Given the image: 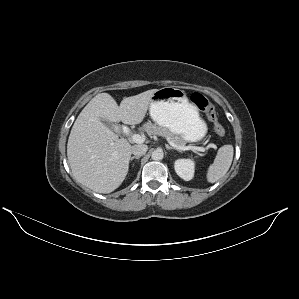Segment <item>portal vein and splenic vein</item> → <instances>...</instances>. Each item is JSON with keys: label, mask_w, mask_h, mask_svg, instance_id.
Wrapping results in <instances>:
<instances>
[{"label": "portal vein and splenic vein", "mask_w": 299, "mask_h": 299, "mask_svg": "<svg viewBox=\"0 0 299 299\" xmlns=\"http://www.w3.org/2000/svg\"><path fill=\"white\" fill-rule=\"evenodd\" d=\"M130 139L135 142V143H143L145 141V138L139 134H133L130 136ZM168 143L175 149H178V150H182V151H185V150H192V151H199V152H204L206 148L204 147H197V146H181V145H177L171 141H168ZM212 148H216L215 145H212L211 146Z\"/></svg>", "instance_id": "1"}]
</instances>
